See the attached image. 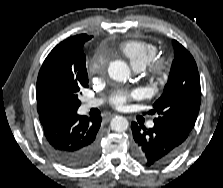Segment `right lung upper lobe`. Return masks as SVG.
<instances>
[{
    "label": "right lung upper lobe",
    "mask_w": 223,
    "mask_h": 188,
    "mask_svg": "<svg viewBox=\"0 0 223 188\" xmlns=\"http://www.w3.org/2000/svg\"><path fill=\"white\" fill-rule=\"evenodd\" d=\"M89 39L90 37L86 34L69 37L59 43L43 62L36 85L39 116L57 113L45 100V90L52 82L70 79L72 75L76 76L80 47Z\"/></svg>",
    "instance_id": "right-lung-upper-lobe-1"
}]
</instances>
